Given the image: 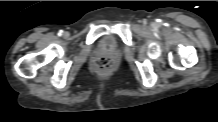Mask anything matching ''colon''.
Returning <instances> with one entry per match:
<instances>
[{
	"instance_id": "5ec220e1",
	"label": "colon",
	"mask_w": 218,
	"mask_h": 122,
	"mask_svg": "<svg viewBox=\"0 0 218 122\" xmlns=\"http://www.w3.org/2000/svg\"><path fill=\"white\" fill-rule=\"evenodd\" d=\"M115 62L111 57H100L95 62V70L100 74L110 72L114 68Z\"/></svg>"
}]
</instances>
